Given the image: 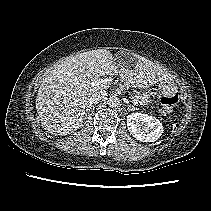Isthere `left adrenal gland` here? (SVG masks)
Listing matches in <instances>:
<instances>
[{
	"instance_id": "1",
	"label": "left adrenal gland",
	"mask_w": 211,
	"mask_h": 211,
	"mask_svg": "<svg viewBox=\"0 0 211 211\" xmlns=\"http://www.w3.org/2000/svg\"><path fill=\"white\" fill-rule=\"evenodd\" d=\"M128 110H137V107L132 105H127Z\"/></svg>"
}]
</instances>
